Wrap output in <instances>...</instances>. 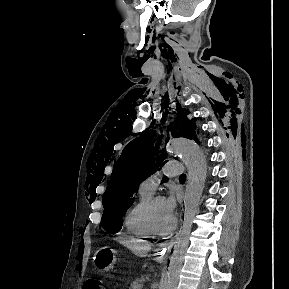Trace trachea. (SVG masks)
I'll return each mask as SVG.
<instances>
[{
	"label": "trachea",
	"mask_w": 289,
	"mask_h": 289,
	"mask_svg": "<svg viewBox=\"0 0 289 289\" xmlns=\"http://www.w3.org/2000/svg\"><path fill=\"white\" fill-rule=\"evenodd\" d=\"M186 178V175L185 174H182L181 176H180V179H185Z\"/></svg>",
	"instance_id": "1"
}]
</instances>
